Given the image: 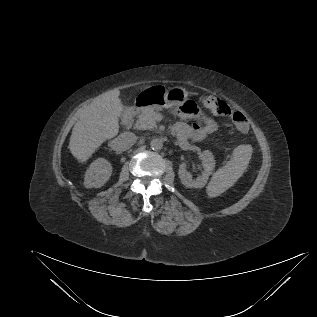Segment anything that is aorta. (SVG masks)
<instances>
[{
    "label": "aorta",
    "instance_id": "aorta-1",
    "mask_svg": "<svg viewBox=\"0 0 317 317\" xmlns=\"http://www.w3.org/2000/svg\"><path fill=\"white\" fill-rule=\"evenodd\" d=\"M150 147L152 150L159 151L163 147V141L159 138H154L150 142Z\"/></svg>",
    "mask_w": 317,
    "mask_h": 317
}]
</instances>
